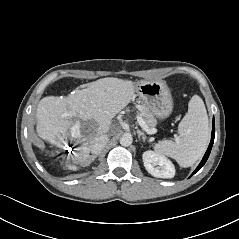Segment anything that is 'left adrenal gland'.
I'll return each mask as SVG.
<instances>
[{"instance_id":"left-adrenal-gland-1","label":"left adrenal gland","mask_w":239,"mask_h":239,"mask_svg":"<svg viewBox=\"0 0 239 239\" xmlns=\"http://www.w3.org/2000/svg\"><path fill=\"white\" fill-rule=\"evenodd\" d=\"M137 134H138V138L140 139V137H142V140L145 141L146 140V136L145 134L140 131V130H137Z\"/></svg>"}]
</instances>
